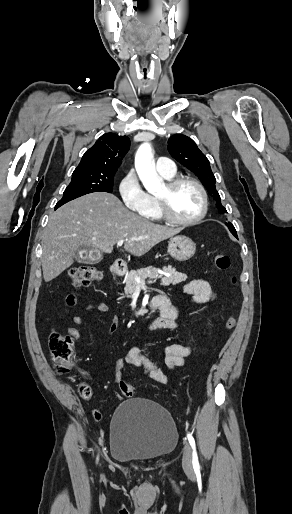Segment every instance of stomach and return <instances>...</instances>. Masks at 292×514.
Wrapping results in <instances>:
<instances>
[{
    "mask_svg": "<svg viewBox=\"0 0 292 514\" xmlns=\"http://www.w3.org/2000/svg\"><path fill=\"white\" fill-rule=\"evenodd\" d=\"M195 252L196 244L190 238H186V236H175V238H171L170 242H168V254L174 260H178V262L189 260V258L194 256ZM111 272H116V268L112 266Z\"/></svg>",
    "mask_w": 292,
    "mask_h": 514,
    "instance_id": "0dacf381",
    "label": "stomach"
}]
</instances>
